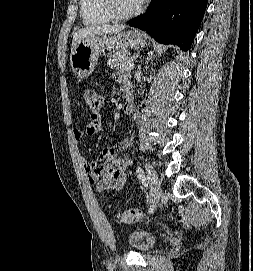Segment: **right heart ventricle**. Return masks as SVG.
<instances>
[{
    "label": "right heart ventricle",
    "mask_w": 253,
    "mask_h": 271,
    "mask_svg": "<svg viewBox=\"0 0 253 271\" xmlns=\"http://www.w3.org/2000/svg\"><path fill=\"white\" fill-rule=\"evenodd\" d=\"M80 15L89 26L108 24L114 20L107 11L104 0H80Z\"/></svg>",
    "instance_id": "right-heart-ventricle-1"
}]
</instances>
